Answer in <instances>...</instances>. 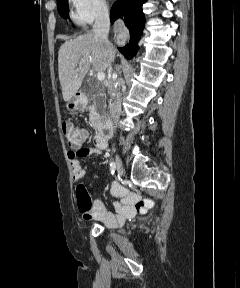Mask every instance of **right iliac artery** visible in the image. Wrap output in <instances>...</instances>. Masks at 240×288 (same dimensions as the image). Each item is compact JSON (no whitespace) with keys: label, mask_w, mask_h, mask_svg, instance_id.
Instances as JSON below:
<instances>
[{"label":"right iliac artery","mask_w":240,"mask_h":288,"mask_svg":"<svg viewBox=\"0 0 240 288\" xmlns=\"http://www.w3.org/2000/svg\"><path fill=\"white\" fill-rule=\"evenodd\" d=\"M110 169H111V173L113 175L115 173L114 162H110Z\"/></svg>","instance_id":"1"}]
</instances>
